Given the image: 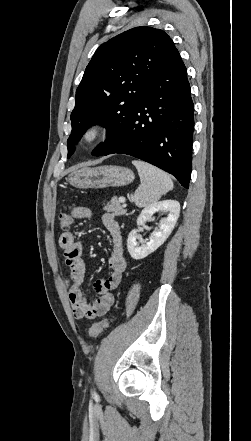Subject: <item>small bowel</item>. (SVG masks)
<instances>
[{"instance_id": "c3829d8e", "label": "small bowel", "mask_w": 251, "mask_h": 441, "mask_svg": "<svg viewBox=\"0 0 251 441\" xmlns=\"http://www.w3.org/2000/svg\"><path fill=\"white\" fill-rule=\"evenodd\" d=\"M73 217L89 219L92 217V211L88 207L79 206L76 208ZM102 223L110 234L112 248L108 260L109 273L94 282V290L98 297L93 302L88 301L82 292L85 280L82 243L71 232L62 233L59 238V245L64 253L65 265L70 270L69 277L65 278L64 281L73 314L77 319H92L108 313L115 303L114 292L119 287L126 270V259L119 223L111 213L103 214Z\"/></svg>"}]
</instances>
